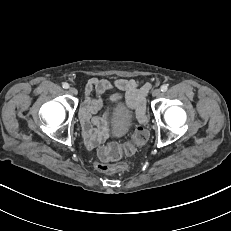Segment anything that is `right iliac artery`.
I'll list each match as a JSON object with an SVG mask.
<instances>
[{"mask_svg":"<svg viewBox=\"0 0 231 231\" xmlns=\"http://www.w3.org/2000/svg\"><path fill=\"white\" fill-rule=\"evenodd\" d=\"M62 86H63V88H64V89H68V88H69V84H68V83H66V82H65V83H63V85H62Z\"/></svg>","mask_w":231,"mask_h":231,"instance_id":"obj_1","label":"right iliac artery"}]
</instances>
